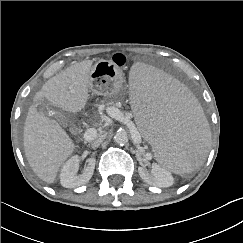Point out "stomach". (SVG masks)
I'll return each instance as SVG.
<instances>
[{
    "mask_svg": "<svg viewBox=\"0 0 243 243\" xmlns=\"http://www.w3.org/2000/svg\"><path fill=\"white\" fill-rule=\"evenodd\" d=\"M123 73L112 61L100 60L92 67L89 89L103 96H116L123 89Z\"/></svg>",
    "mask_w": 243,
    "mask_h": 243,
    "instance_id": "0dacf381",
    "label": "stomach"
}]
</instances>
